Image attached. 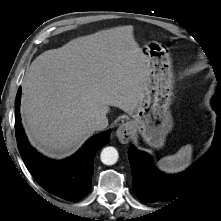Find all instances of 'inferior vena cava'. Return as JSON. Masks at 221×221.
Returning <instances> with one entry per match:
<instances>
[{
  "label": "inferior vena cava",
  "instance_id": "obj_1",
  "mask_svg": "<svg viewBox=\"0 0 221 221\" xmlns=\"http://www.w3.org/2000/svg\"><path fill=\"white\" fill-rule=\"evenodd\" d=\"M90 126L94 131L103 130L108 126V119L105 114H97L92 121Z\"/></svg>",
  "mask_w": 221,
  "mask_h": 221
}]
</instances>
